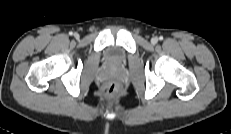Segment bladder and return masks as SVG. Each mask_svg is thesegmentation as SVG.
I'll list each match as a JSON object with an SVG mask.
<instances>
[{
    "mask_svg": "<svg viewBox=\"0 0 231 134\" xmlns=\"http://www.w3.org/2000/svg\"><path fill=\"white\" fill-rule=\"evenodd\" d=\"M105 58L111 64L121 65L126 61V54L121 48L111 46L106 49Z\"/></svg>",
    "mask_w": 231,
    "mask_h": 134,
    "instance_id": "1",
    "label": "bladder"
}]
</instances>
